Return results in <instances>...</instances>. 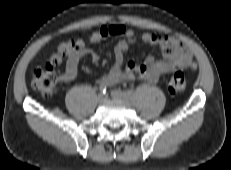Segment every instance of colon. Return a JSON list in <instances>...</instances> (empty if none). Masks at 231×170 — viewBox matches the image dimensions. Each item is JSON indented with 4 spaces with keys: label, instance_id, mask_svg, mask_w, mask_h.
Segmentation results:
<instances>
[{
    "label": "colon",
    "instance_id": "obj_1",
    "mask_svg": "<svg viewBox=\"0 0 231 170\" xmlns=\"http://www.w3.org/2000/svg\"><path fill=\"white\" fill-rule=\"evenodd\" d=\"M75 47L74 41L62 43L57 52L52 55L49 62L42 68L37 69L33 75L31 85L44 98H51L57 92L59 75L55 71V66L71 53ZM186 79L181 71H176L170 78L168 88L172 93L183 92L186 89Z\"/></svg>",
    "mask_w": 231,
    "mask_h": 170
}]
</instances>
